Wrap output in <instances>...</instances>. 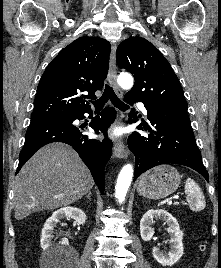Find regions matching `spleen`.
<instances>
[{
    "instance_id": "3e777b00",
    "label": "spleen",
    "mask_w": 221,
    "mask_h": 268,
    "mask_svg": "<svg viewBox=\"0 0 221 268\" xmlns=\"http://www.w3.org/2000/svg\"><path fill=\"white\" fill-rule=\"evenodd\" d=\"M185 193L187 202L192 211H201L205 208V197L199 185L191 178H188L185 183Z\"/></svg>"
}]
</instances>
